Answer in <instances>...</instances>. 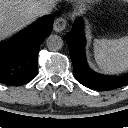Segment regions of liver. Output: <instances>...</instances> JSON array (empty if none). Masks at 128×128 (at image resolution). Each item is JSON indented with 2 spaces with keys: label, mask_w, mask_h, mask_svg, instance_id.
Masks as SVG:
<instances>
[{
  "label": "liver",
  "mask_w": 128,
  "mask_h": 128,
  "mask_svg": "<svg viewBox=\"0 0 128 128\" xmlns=\"http://www.w3.org/2000/svg\"><path fill=\"white\" fill-rule=\"evenodd\" d=\"M47 1L54 6L59 0H0V40L33 23L37 18L35 9Z\"/></svg>",
  "instance_id": "1"
}]
</instances>
